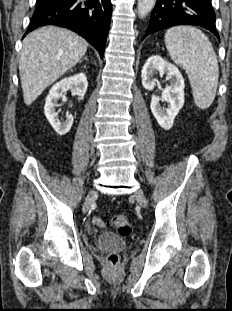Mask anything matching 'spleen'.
Segmentation results:
<instances>
[{
  "instance_id": "1",
  "label": "spleen",
  "mask_w": 232,
  "mask_h": 311,
  "mask_svg": "<svg viewBox=\"0 0 232 311\" xmlns=\"http://www.w3.org/2000/svg\"><path fill=\"white\" fill-rule=\"evenodd\" d=\"M166 48L172 60L185 69L195 104L210 107L215 99L219 68L214 48L208 37L191 26H175L165 34Z\"/></svg>"
}]
</instances>
